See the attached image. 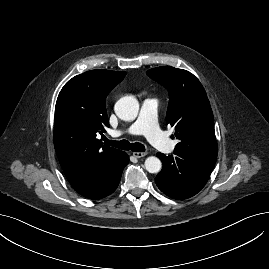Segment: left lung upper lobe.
<instances>
[{
	"label": "left lung upper lobe",
	"instance_id": "5c2ea615",
	"mask_svg": "<svg viewBox=\"0 0 269 269\" xmlns=\"http://www.w3.org/2000/svg\"><path fill=\"white\" fill-rule=\"evenodd\" d=\"M147 75L169 91L166 122L175 127V148L217 156L213 113L199 80L171 66L150 69Z\"/></svg>",
	"mask_w": 269,
	"mask_h": 269
}]
</instances>
